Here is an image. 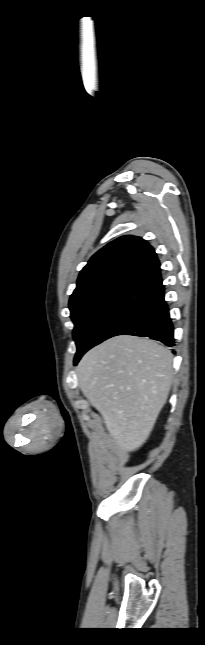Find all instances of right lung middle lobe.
I'll list each match as a JSON object with an SVG mask.
<instances>
[{
    "instance_id": "1",
    "label": "right lung middle lobe",
    "mask_w": 205,
    "mask_h": 645,
    "mask_svg": "<svg viewBox=\"0 0 205 645\" xmlns=\"http://www.w3.org/2000/svg\"><path fill=\"white\" fill-rule=\"evenodd\" d=\"M148 295L147 289L121 287L69 305L77 345L74 362L88 349L101 343L110 331L145 302Z\"/></svg>"
}]
</instances>
